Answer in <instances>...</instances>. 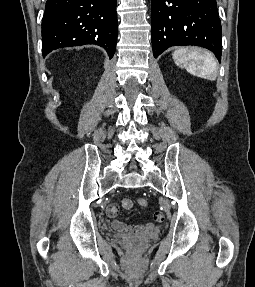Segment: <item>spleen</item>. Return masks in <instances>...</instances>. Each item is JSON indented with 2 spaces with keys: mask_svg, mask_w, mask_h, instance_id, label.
<instances>
[{
  "mask_svg": "<svg viewBox=\"0 0 255 287\" xmlns=\"http://www.w3.org/2000/svg\"><path fill=\"white\" fill-rule=\"evenodd\" d=\"M183 54H188L190 58L183 60ZM174 62L179 64L181 68H187L188 72L198 76V78H205V80H216L217 64L210 52L201 50V48H193V50H185V48H178L172 54Z\"/></svg>",
  "mask_w": 255,
  "mask_h": 287,
  "instance_id": "spleen-1",
  "label": "spleen"
}]
</instances>
